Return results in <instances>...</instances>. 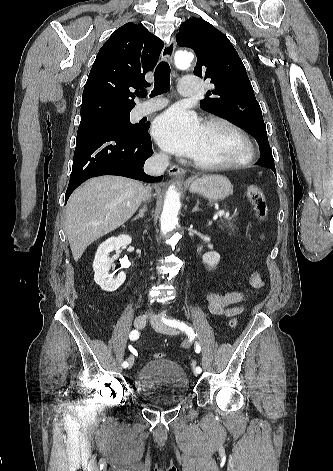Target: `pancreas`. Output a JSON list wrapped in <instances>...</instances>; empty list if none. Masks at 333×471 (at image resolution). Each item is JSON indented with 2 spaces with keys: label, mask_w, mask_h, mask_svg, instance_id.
<instances>
[{
  "label": "pancreas",
  "mask_w": 333,
  "mask_h": 471,
  "mask_svg": "<svg viewBox=\"0 0 333 471\" xmlns=\"http://www.w3.org/2000/svg\"><path fill=\"white\" fill-rule=\"evenodd\" d=\"M219 227L221 229L226 228L228 230H234L236 228L235 227V217L234 216L225 217L224 220L220 221Z\"/></svg>",
  "instance_id": "pancreas-1"
}]
</instances>
